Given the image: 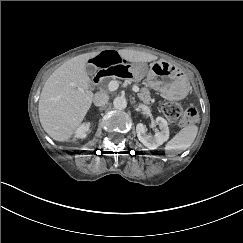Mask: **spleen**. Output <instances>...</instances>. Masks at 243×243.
<instances>
[{
  "instance_id": "obj_1",
  "label": "spleen",
  "mask_w": 243,
  "mask_h": 243,
  "mask_svg": "<svg viewBox=\"0 0 243 243\" xmlns=\"http://www.w3.org/2000/svg\"><path fill=\"white\" fill-rule=\"evenodd\" d=\"M198 133L196 125H190L182 128L167 144L165 150L167 153L171 151L178 152L186 150L194 142Z\"/></svg>"
}]
</instances>
